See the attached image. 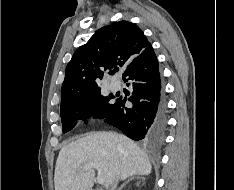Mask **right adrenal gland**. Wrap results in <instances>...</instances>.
I'll use <instances>...</instances> for the list:
<instances>
[{"instance_id":"2a0ac1e0","label":"right adrenal gland","mask_w":234,"mask_h":190,"mask_svg":"<svg viewBox=\"0 0 234 190\" xmlns=\"http://www.w3.org/2000/svg\"><path fill=\"white\" fill-rule=\"evenodd\" d=\"M135 179H136V180H139V182L145 180L144 177H132V178L128 179L125 183H123V184L121 185V187H120L118 190H122L129 182H131V181H133V180H135ZM137 183H138V182H137Z\"/></svg>"}]
</instances>
